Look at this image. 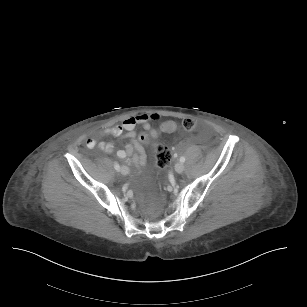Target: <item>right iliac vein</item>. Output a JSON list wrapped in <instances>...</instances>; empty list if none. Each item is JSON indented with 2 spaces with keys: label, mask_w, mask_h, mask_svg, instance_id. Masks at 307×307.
<instances>
[{
  "label": "right iliac vein",
  "mask_w": 307,
  "mask_h": 307,
  "mask_svg": "<svg viewBox=\"0 0 307 307\" xmlns=\"http://www.w3.org/2000/svg\"><path fill=\"white\" fill-rule=\"evenodd\" d=\"M128 168L126 167V166H123L122 168H121V172H122V174H124V175H126L127 173H128Z\"/></svg>",
  "instance_id": "right-iliac-vein-1"
}]
</instances>
